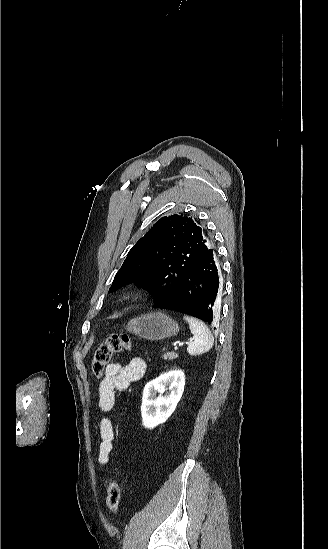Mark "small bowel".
I'll return each instance as SVG.
<instances>
[{
	"instance_id": "obj_1",
	"label": "small bowel",
	"mask_w": 328,
	"mask_h": 549,
	"mask_svg": "<svg viewBox=\"0 0 328 549\" xmlns=\"http://www.w3.org/2000/svg\"><path fill=\"white\" fill-rule=\"evenodd\" d=\"M146 364L139 357L132 358L127 364L119 362L109 363L105 368V375L99 385V409L106 413L112 410L115 404V393L124 392L131 383L143 378ZM100 446L98 463L106 467L113 448L114 430L112 421L103 417L99 423Z\"/></svg>"
}]
</instances>
